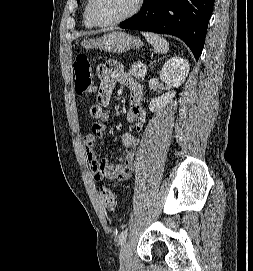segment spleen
Returning <instances> with one entry per match:
<instances>
[{
  "label": "spleen",
  "mask_w": 253,
  "mask_h": 271,
  "mask_svg": "<svg viewBox=\"0 0 253 271\" xmlns=\"http://www.w3.org/2000/svg\"><path fill=\"white\" fill-rule=\"evenodd\" d=\"M146 40L154 47L156 52L166 54L169 50V43L161 36L151 32H142Z\"/></svg>",
  "instance_id": "3e777b00"
}]
</instances>
